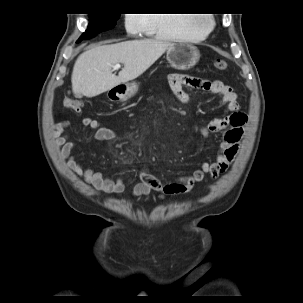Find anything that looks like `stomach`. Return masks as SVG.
I'll list each match as a JSON object with an SVG mask.
<instances>
[{"label": "stomach", "mask_w": 303, "mask_h": 303, "mask_svg": "<svg viewBox=\"0 0 303 303\" xmlns=\"http://www.w3.org/2000/svg\"><path fill=\"white\" fill-rule=\"evenodd\" d=\"M166 58L171 67L178 70H188L199 61L200 52L195 46L189 43L177 42L173 43L167 49ZM113 89L116 98L125 101L138 92L139 85L133 81L124 83Z\"/></svg>", "instance_id": "obj_1"}]
</instances>
